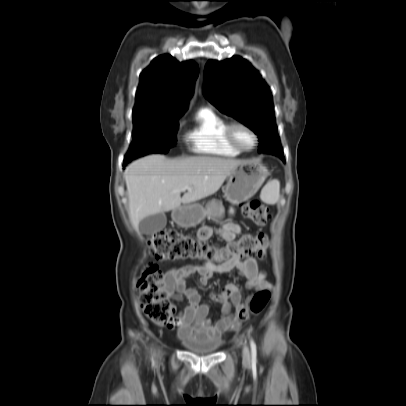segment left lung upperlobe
Here are the masks:
<instances>
[{
	"instance_id": "5c2ea615",
	"label": "left lung upper lobe",
	"mask_w": 406,
	"mask_h": 406,
	"mask_svg": "<svg viewBox=\"0 0 406 406\" xmlns=\"http://www.w3.org/2000/svg\"><path fill=\"white\" fill-rule=\"evenodd\" d=\"M204 96L220 111L259 136V153L284 156L275 125L270 89L250 63L238 56L209 60L204 70Z\"/></svg>"
}]
</instances>
